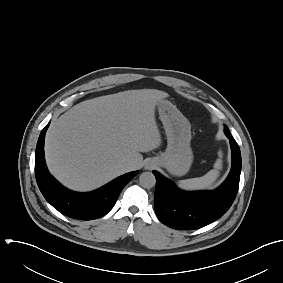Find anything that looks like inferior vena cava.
I'll use <instances>...</instances> for the list:
<instances>
[{"label": "inferior vena cava", "instance_id": "1", "mask_svg": "<svg viewBox=\"0 0 283 283\" xmlns=\"http://www.w3.org/2000/svg\"><path fill=\"white\" fill-rule=\"evenodd\" d=\"M120 166L124 170V172H129L132 170V164L130 162H123Z\"/></svg>", "mask_w": 283, "mask_h": 283}]
</instances>
